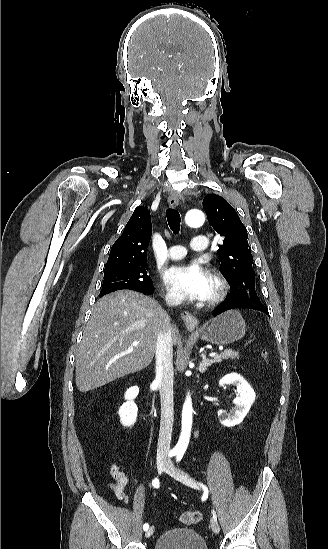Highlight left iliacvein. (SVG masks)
<instances>
[{
  "label": "left iliac vein",
  "mask_w": 328,
  "mask_h": 549,
  "mask_svg": "<svg viewBox=\"0 0 328 549\" xmlns=\"http://www.w3.org/2000/svg\"><path fill=\"white\" fill-rule=\"evenodd\" d=\"M164 471L166 473H168L169 475L173 476L175 479L183 482L184 484H186L187 486L189 487H192L194 489H200V487L195 483V480L192 479L188 474H186L184 471H182L181 469L177 468L176 466L173 465V463L168 460L166 462V465L164 467ZM212 530L215 534H218L219 532V525L218 523L216 522L215 519H212Z\"/></svg>",
  "instance_id": "1"
}]
</instances>
